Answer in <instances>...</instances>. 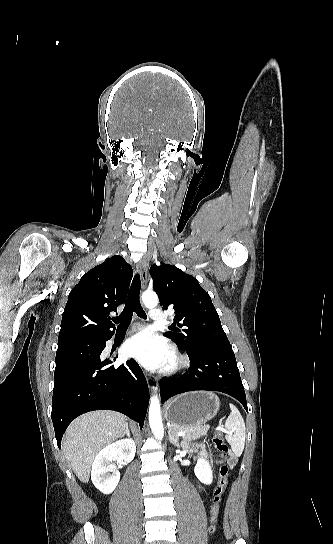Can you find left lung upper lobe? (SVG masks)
Masks as SVG:
<instances>
[{"mask_svg": "<svg viewBox=\"0 0 333 544\" xmlns=\"http://www.w3.org/2000/svg\"><path fill=\"white\" fill-rule=\"evenodd\" d=\"M150 273L162 309L173 307L174 321L182 328L164 336L187 353L204 347L232 349L209 294L196 278L163 262L160 266L152 265Z\"/></svg>", "mask_w": 333, "mask_h": 544, "instance_id": "1", "label": "left lung upper lobe"}]
</instances>
